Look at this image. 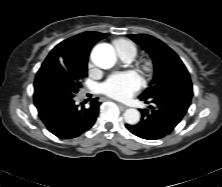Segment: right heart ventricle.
Listing matches in <instances>:
<instances>
[{"label": "right heart ventricle", "instance_id": "e07e8e85", "mask_svg": "<svg viewBox=\"0 0 222 187\" xmlns=\"http://www.w3.org/2000/svg\"><path fill=\"white\" fill-rule=\"evenodd\" d=\"M117 47L119 48L120 52L123 51L124 49H128V48H131L134 51H136L135 46L132 43L128 42V41H119L117 43Z\"/></svg>", "mask_w": 222, "mask_h": 187}]
</instances>
